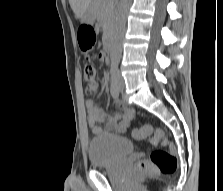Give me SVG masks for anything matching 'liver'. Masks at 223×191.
Wrapping results in <instances>:
<instances>
[{
    "label": "liver",
    "instance_id": "liver-1",
    "mask_svg": "<svg viewBox=\"0 0 223 191\" xmlns=\"http://www.w3.org/2000/svg\"><path fill=\"white\" fill-rule=\"evenodd\" d=\"M92 0H69L70 6L77 18H81L82 14L89 8Z\"/></svg>",
    "mask_w": 223,
    "mask_h": 191
}]
</instances>
